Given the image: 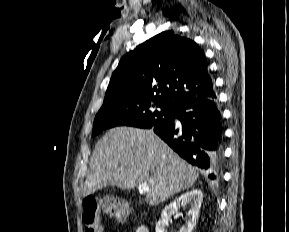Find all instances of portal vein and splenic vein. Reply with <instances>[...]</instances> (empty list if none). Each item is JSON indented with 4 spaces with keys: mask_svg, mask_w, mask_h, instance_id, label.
<instances>
[{
    "mask_svg": "<svg viewBox=\"0 0 289 232\" xmlns=\"http://www.w3.org/2000/svg\"><path fill=\"white\" fill-rule=\"evenodd\" d=\"M141 188H142V191H144V192L149 191V186L147 184H142Z\"/></svg>",
    "mask_w": 289,
    "mask_h": 232,
    "instance_id": "portal-vein-and-splenic-vein-1",
    "label": "portal vein and splenic vein"
}]
</instances>
